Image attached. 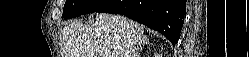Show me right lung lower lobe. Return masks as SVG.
<instances>
[{
	"label": "right lung lower lobe",
	"instance_id": "obj_1",
	"mask_svg": "<svg viewBox=\"0 0 249 57\" xmlns=\"http://www.w3.org/2000/svg\"><path fill=\"white\" fill-rule=\"evenodd\" d=\"M96 12L127 16L178 42L186 14L185 0H109Z\"/></svg>",
	"mask_w": 249,
	"mask_h": 57
}]
</instances>
